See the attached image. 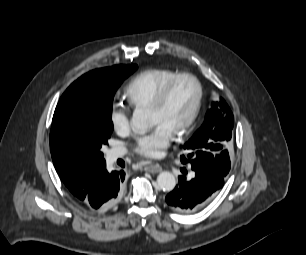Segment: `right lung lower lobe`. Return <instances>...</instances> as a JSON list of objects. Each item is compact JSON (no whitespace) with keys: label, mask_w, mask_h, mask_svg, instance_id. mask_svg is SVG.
<instances>
[{"label":"right lung lower lobe","mask_w":306,"mask_h":255,"mask_svg":"<svg viewBox=\"0 0 306 255\" xmlns=\"http://www.w3.org/2000/svg\"><path fill=\"white\" fill-rule=\"evenodd\" d=\"M106 163L90 168L69 188L74 199L90 211L103 213L113 208L123 194V170H106Z\"/></svg>","instance_id":"98d812e1"}]
</instances>
